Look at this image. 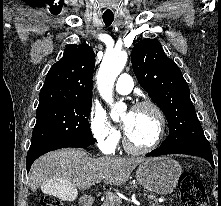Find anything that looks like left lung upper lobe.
Wrapping results in <instances>:
<instances>
[{"label":"left lung upper lobe","instance_id":"obj_1","mask_svg":"<svg viewBox=\"0 0 221 206\" xmlns=\"http://www.w3.org/2000/svg\"><path fill=\"white\" fill-rule=\"evenodd\" d=\"M132 67L139 84L160 107L169 125L163 147H210L180 69L159 41L144 39L132 49Z\"/></svg>","mask_w":221,"mask_h":206}]
</instances>
